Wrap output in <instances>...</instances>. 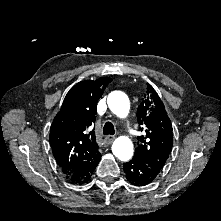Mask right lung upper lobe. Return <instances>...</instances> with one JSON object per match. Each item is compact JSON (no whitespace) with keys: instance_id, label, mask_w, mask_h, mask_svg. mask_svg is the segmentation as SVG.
Segmentation results:
<instances>
[{"instance_id":"right-lung-upper-lobe-1","label":"right lung upper lobe","mask_w":221,"mask_h":221,"mask_svg":"<svg viewBox=\"0 0 221 221\" xmlns=\"http://www.w3.org/2000/svg\"><path fill=\"white\" fill-rule=\"evenodd\" d=\"M112 81L109 77L85 80L66 95L50 128V144L63 174L80 169L98 151L95 140L97 102Z\"/></svg>"}]
</instances>
